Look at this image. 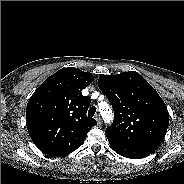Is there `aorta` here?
<instances>
[{"instance_id":"aorta-1","label":"aorta","mask_w":184,"mask_h":184,"mask_svg":"<svg viewBox=\"0 0 184 184\" xmlns=\"http://www.w3.org/2000/svg\"><path fill=\"white\" fill-rule=\"evenodd\" d=\"M109 106L104 103L100 105L101 114L106 122H110L112 119V115L110 114V111H108Z\"/></svg>"}]
</instances>
